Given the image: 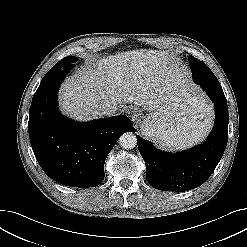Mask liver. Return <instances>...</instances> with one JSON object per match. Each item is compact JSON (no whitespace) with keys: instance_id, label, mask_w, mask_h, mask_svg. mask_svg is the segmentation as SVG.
I'll return each mask as SVG.
<instances>
[{"instance_id":"liver-1","label":"liver","mask_w":247,"mask_h":247,"mask_svg":"<svg viewBox=\"0 0 247 247\" xmlns=\"http://www.w3.org/2000/svg\"><path fill=\"white\" fill-rule=\"evenodd\" d=\"M184 82V74L166 51H126L96 60L66 79L59 101L62 110L78 120L102 116V106L108 102L119 109L134 103L151 112ZM184 108L190 115L198 111L191 102ZM207 111L211 115L210 107ZM209 125L210 119L201 125L195 122L199 129Z\"/></svg>"}]
</instances>
